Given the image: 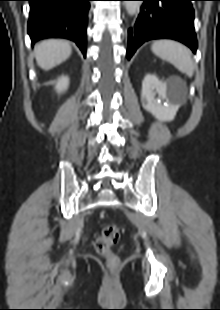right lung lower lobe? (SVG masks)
<instances>
[{
    "instance_id": "right-lung-lower-lobe-1",
    "label": "right lung lower lobe",
    "mask_w": 220,
    "mask_h": 310,
    "mask_svg": "<svg viewBox=\"0 0 220 310\" xmlns=\"http://www.w3.org/2000/svg\"><path fill=\"white\" fill-rule=\"evenodd\" d=\"M28 34L34 44L43 38L74 41L86 57L87 15L91 0H28Z\"/></svg>"
}]
</instances>
